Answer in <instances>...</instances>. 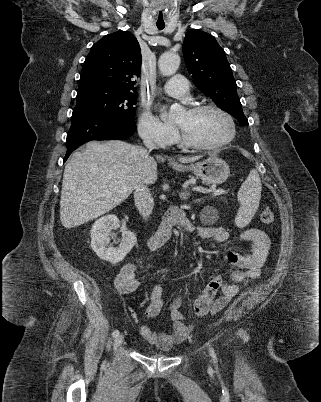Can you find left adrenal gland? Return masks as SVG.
<instances>
[{
  "mask_svg": "<svg viewBox=\"0 0 321 402\" xmlns=\"http://www.w3.org/2000/svg\"><path fill=\"white\" fill-rule=\"evenodd\" d=\"M189 192L187 190H185L184 192L180 193V198L186 200L187 198H189Z\"/></svg>",
  "mask_w": 321,
  "mask_h": 402,
  "instance_id": "1",
  "label": "left adrenal gland"
}]
</instances>
